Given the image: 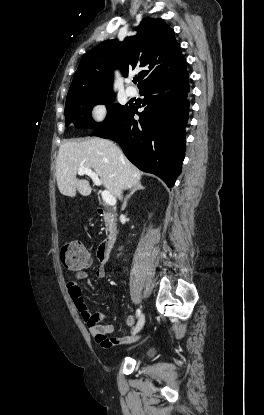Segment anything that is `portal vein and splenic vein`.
<instances>
[{
  "instance_id": "1",
  "label": "portal vein and splenic vein",
  "mask_w": 264,
  "mask_h": 415,
  "mask_svg": "<svg viewBox=\"0 0 264 415\" xmlns=\"http://www.w3.org/2000/svg\"><path fill=\"white\" fill-rule=\"evenodd\" d=\"M78 175H88L92 181L94 182L95 185L97 186H101V181L98 177V175L91 169L89 168H85V167H81L78 169ZM102 199L103 201L108 204L109 206H114L116 204V198L108 191V190H104L102 192Z\"/></svg>"
}]
</instances>
